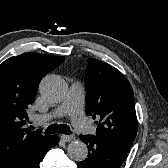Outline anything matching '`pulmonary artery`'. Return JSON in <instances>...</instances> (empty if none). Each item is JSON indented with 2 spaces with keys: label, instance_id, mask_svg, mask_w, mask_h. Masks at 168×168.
<instances>
[{
  "label": "pulmonary artery",
  "instance_id": "obj_1",
  "mask_svg": "<svg viewBox=\"0 0 168 168\" xmlns=\"http://www.w3.org/2000/svg\"><path fill=\"white\" fill-rule=\"evenodd\" d=\"M84 101V88L79 83H73L58 108L42 118L69 116L76 128L88 132L91 130V125L83 114Z\"/></svg>",
  "mask_w": 168,
  "mask_h": 168
}]
</instances>
